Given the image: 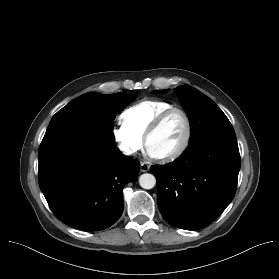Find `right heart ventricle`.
I'll use <instances>...</instances> for the list:
<instances>
[{
  "label": "right heart ventricle",
  "mask_w": 279,
  "mask_h": 279,
  "mask_svg": "<svg viewBox=\"0 0 279 279\" xmlns=\"http://www.w3.org/2000/svg\"><path fill=\"white\" fill-rule=\"evenodd\" d=\"M170 107H173V104L165 100L144 99L125 109L121 114V120L127 127L144 138L153 120Z\"/></svg>",
  "instance_id": "1"
}]
</instances>
